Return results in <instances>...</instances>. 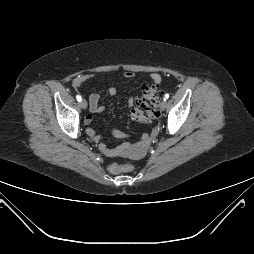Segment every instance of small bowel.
I'll list each match as a JSON object with an SVG mask.
<instances>
[{
    "mask_svg": "<svg viewBox=\"0 0 254 254\" xmlns=\"http://www.w3.org/2000/svg\"><path fill=\"white\" fill-rule=\"evenodd\" d=\"M123 76L125 78H133L135 76L134 72L132 71H125L123 73ZM95 76L94 75H82L79 76L78 78H76L74 80V85L76 87H80L81 83L89 80V79H94ZM150 78L152 79V81L156 84L160 83L161 81V77L157 74V73H152L150 75ZM108 93L110 95H116L117 94V88L112 86L108 89ZM99 100H100V96L97 93H93L90 95L89 97V108H90V112L94 113V114H100L104 111V107L99 105ZM127 103L128 106H133L134 105V98L131 96L127 97ZM87 114L84 118V123L87 125V129H86V133L89 137H91L93 140L100 142L102 140V136L97 134L96 131L90 126L92 121H93V116L92 114ZM112 134L115 137H122L123 134L120 131L117 130H112L111 131ZM148 142V138L144 137L142 139V141L140 142V144L138 146L135 147H131V146H123V147H119V148H115V149H110L107 147L106 144L104 143H100L99 144V149L107 156L113 157V156H117L120 155L124 150L127 149H132V150H136V151H140Z\"/></svg>",
    "mask_w": 254,
    "mask_h": 254,
    "instance_id": "obj_1",
    "label": "small bowel"
}]
</instances>
